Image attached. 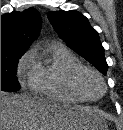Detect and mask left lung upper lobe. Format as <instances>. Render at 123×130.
I'll list each match as a JSON object with an SVG mask.
<instances>
[{
    "mask_svg": "<svg viewBox=\"0 0 123 130\" xmlns=\"http://www.w3.org/2000/svg\"><path fill=\"white\" fill-rule=\"evenodd\" d=\"M47 16L60 38L106 75L108 65L104 48L88 19L78 11H51Z\"/></svg>",
    "mask_w": 123,
    "mask_h": 130,
    "instance_id": "1",
    "label": "left lung upper lobe"
}]
</instances>
